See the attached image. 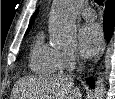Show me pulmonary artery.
<instances>
[{"mask_svg": "<svg viewBox=\"0 0 115 99\" xmlns=\"http://www.w3.org/2000/svg\"><path fill=\"white\" fill-rule=\"evenodd\" d=\"M82 16L84 19L93 21L96 18V13L91 7L83 9Z\"/></svg>", "mask_w": 115, "mask_h": 99, "instance_id": "obj_1", "label": "pulmonary artery"}]
</instances>
